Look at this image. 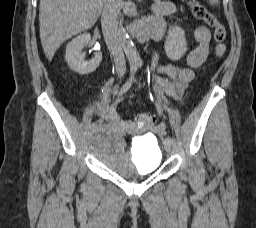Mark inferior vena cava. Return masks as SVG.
<instances>
[{"label":"inferior vena cava","mask_w":256,"mask_h":228,"mask_svg":"<svg viewBox=\"0 0 256 228\" xmlns=\"http://www.w3.org/2000/svg\"><path fill=\"white\" fill-rule=\"evenodd\" d=\"M120 6L121 0H104L101 25L106 45L114 58L116 72L122 76L126 72V61L118 29Z\"/></svg>","instance_id":"1"}]
</instances>
